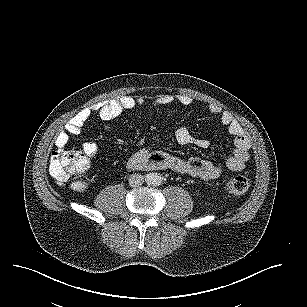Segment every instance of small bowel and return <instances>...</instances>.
I'll return each mask as SVG.
<instances>
[{
    "mask_svg": "<svg viewBox=\"0 0 307 307\" xmlns=\"http://www.w3.org/2000/svg\"><path fill=\"white\" fill-rule=\"evenodd\" d=\"M175 102L188 106L192 103V99L187 95H163L155 99L154 104L156 106H164ZM142 104H144L142 98L122 96L114 100L99 102L91 107L82 109L65 124L63 129L56 136L55 145L57 147V152H62L64 150L72 136H77L82 133L85 123L92 114L98 113L101 119L107 122L118 117L122 112L131 110L135 106ZM207 110L210 115L219 118L221 123L227 128L228 133L234 139L235 150L226 160L225 166L233 172L242 171L250 157L251 143L248 136L229 111H224L215 104H209ZM175 137L178 143L182 145H193L199 148H207L209 146V141L207 139L194 136L184 127H180L175 131ZM83 151L85 155L91 159L97 155L98 146L94 142H86L83 144ZM127 166L131 169H170L181 174H187L201 179L217 178L223 171V166L220 164H214L200 158L183 160L164 152H150L147 148H141L133 153L127 161Z\"/></svg>",
    "mask_w": 307,
    "mask_h": 307,
    "instance_id": "1",
    "label": "small bowel"
}]
</instances>
